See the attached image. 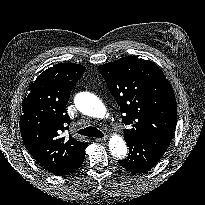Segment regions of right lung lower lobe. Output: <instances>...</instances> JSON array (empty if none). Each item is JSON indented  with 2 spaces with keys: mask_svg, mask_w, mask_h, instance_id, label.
<instances>
[{
  "mask_svg": "<svg viewBox=\"0 0 205 205\" xmlns=\"http://www.w3.org/2000/svg\"><path fill=\"white\" fill-rule=\"evenodd\" d=\"M84 152L78 155L77 157H75L74 159H72L65 167L55 172L54 174L58 176H63V175H69L73 173L75 170H77L82 165V162L85 156Z\"/></svg>",
  "mask_w": 205,
  "mask_h": 205,
  "instance_id": "obj_1",
  "label": "right lung lower lobe"
}]
</instances>
